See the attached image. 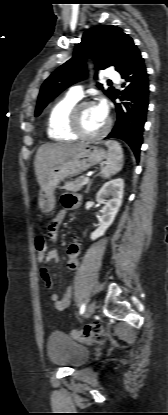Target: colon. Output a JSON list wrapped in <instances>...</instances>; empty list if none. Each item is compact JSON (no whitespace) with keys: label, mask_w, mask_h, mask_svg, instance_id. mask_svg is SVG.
I'll return each instance as SVG.
<instances>
[{"label":"colon","mask_w":168,"mask_h":415,"mask_svg":"<svg viewBox=\"0 0 168 415\" xmlns=\"http://www.w3.org/2000/svg\"><path fill=\"white\" fill-rule=\"evenodd\" d=\"M34 246L37 251V263L40 271L47 269V240L44 234H39L35 237ZM106 328L100 323H92L83 326L81 329L73 331L71 335L80 341H91L95 338H99L107 335Z\"/></svg>","instance_id":"1"}]
</instances>
